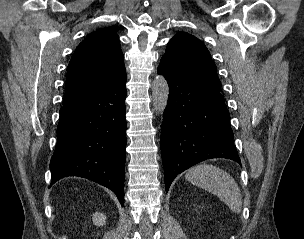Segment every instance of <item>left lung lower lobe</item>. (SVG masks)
Masks as SVG:
<instances>
[{
  "label": "left lung lower lobe",
  "mask_w": 304,
  "mask_h": 239,
  "mask_svg": "<svg viewBox=\"0 0 304 239\" xmlns=\"http://www.w3.org/2000/svg\"><path fill=\"white\" fill-rule=\"evenodd\" d=\"M158 73L170 87L160 137L166 192L178 174L198 162L227 158L240 163L220 91L189 78L163 59Z\"/></svg>",
  "instance_id": "obj_1"
}]
</instances>
